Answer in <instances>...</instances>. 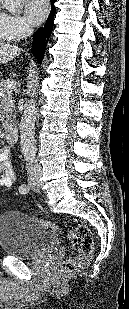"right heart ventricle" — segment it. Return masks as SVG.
<instances>
[{"mask_svg": "<svg viewBox=\"0 0 129 309\" xmlns=\"http://www.w3.org/2000/svg\"><path fill=\"white\" fill-rule=\"evenodd\" d=\"M9 39L4 34L2 27H1V16H0V42L1 41H8Z\"/></svg>", "mask_w": 129, "mask_h": 309, "instance_id": "e07e8e85", "label": "right heart ventricle"}]
</instances>
